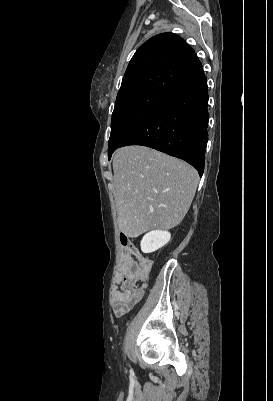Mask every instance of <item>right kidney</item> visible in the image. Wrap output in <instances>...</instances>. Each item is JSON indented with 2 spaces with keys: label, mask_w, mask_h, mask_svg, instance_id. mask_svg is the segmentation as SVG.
I'll list each match as a JSON object with an SVG mask.
<instances>
[{
  "label": "right kidney",
  "mask_w": 273,
  "mask_h": 401,
  "mask_svg": "<svg viewBox=\"0 0 273 401\" xmlns=\"http://www.w3.org/2000/svg\"><path fill=\"white\" fill-rule=\"evenodd\" d=\"M171 239L170 233L168 231H151L144 235L140 245L142 253H154L158 251L164 245H167Z\"/></svg>",
  "instance_id": "right-kidney-1"
}]
</instances>
